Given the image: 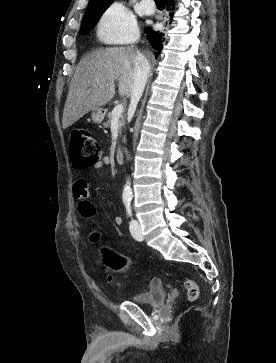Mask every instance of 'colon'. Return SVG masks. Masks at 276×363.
Masks as SVG:
<instances>
[{
    "mask_svg": "<svg viewBox=\"0 0 276 363\" xmlns=\"http://www.w3.org/2000/svg\"><path fill=\"white\" fill-rule=\"evenodd\" d=\"M70 155L73 164L77 168L83 169L96 164L100 160L101 148L99 143L87 130H76L71 135ZM98 239L99 236L97 233L91 234L90 241L92 243H96ZM97 258L109 273L108 280L110 282L113 280V275L129 263V260L119 256L106 246L100 248ZM150 284H157V280H152ZM184 287L186 289L187 299L189 301L196 300L199 294L197 284L193 280L185 278Z\"/></svg>",
    "mask_w": 276,
    "mask_h": 363,
    "instance_id": "colon-1",
    "label": "colon"
}]
</instances>
